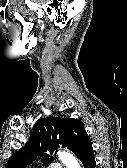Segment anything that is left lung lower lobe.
I'll return each instance as SVG.
<instances>
[{"label": "left lung lower lobe", "instance_id": "obj_1", "mask_svg": "<svg viewBox=\"0 0 127 168\" xmlns=\"http://www.w3.org/2000/svg\"><path fill=\"white\" fill-rule=\"evenodd\" d=\"M76 156L82 161L84 168L95 167L96 162L94 158L91 139L89 137L83 141Z\"/></svg>", "mask_w": 127, "mask_h": 168}]
</instances>
